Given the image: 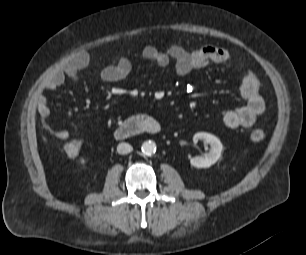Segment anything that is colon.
Masks as SVG:
<instances>
[{"label":"colon","mask_w":306,"mask_h":255,"mask_svg":"<svg viewBox=\"0 0 306 255\" xmlns=\"http://www.w3.org/2000/svg\"><path fill=\"white\" fill-rule=\"evenodd\" d=\"M250 137L253 141H261L265 138V131L262 128H254ZM81 142L79 140H71L63 145V151L69 157H75L81 150Z\"/></svg>","instance_id":"obj_1"}]
</instances>
